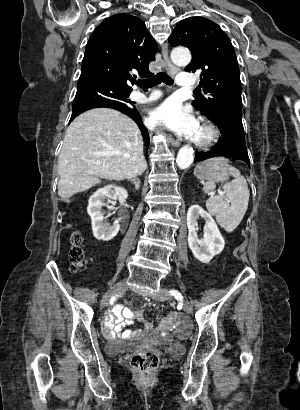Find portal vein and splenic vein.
<instances>
[{"label":"portal vein and splenic vein","instance_id":"18ae733b","mask_svg":"<svg viewBox=\"0 0 300 410\" xmlns=\"http://www.w3.org/2000/svg\"><path fill=\"white\" fill-rule=\"evenodd\" d=\"M220 194H221V195H223L224 193H223V192H221Z\"/></svg>","mask_w":300,"mask_h":410}]
</instances>
